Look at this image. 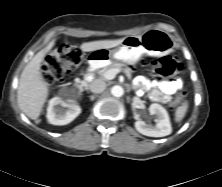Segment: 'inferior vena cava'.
<instances>
[{
	"instance_id": "inferior-vena-cava-1",
	"label": "inferior vena cava",
	"mask_w": 222,
	"mask_h": 187,
	"mask_svg": "<svg viewBox=\"0 0 222 187\" xmlns=\"http://www.w3.org/2000/svg\"><path fill=\"white\" fill-rule=\"evenodd\" d=\"M89 88L91 92L98 94L105 90L106 83L101 79H96L90 83Z\"/></svg>"
}]
</instances>
